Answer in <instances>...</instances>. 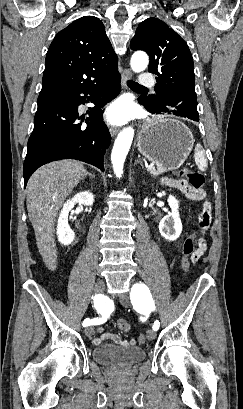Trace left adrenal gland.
Segmentation results:
<instances>
[{
  "label": "left adrenal gland",
  "mask_w": 243,
  "mask_h": 409,
  "mask_svg": "<svg viewBox=\"0 0 243 409\" xmlns=\"http://www.w3.org/2000/svg\"><path fill=\"white\" fill-rule=\"evenodd\" d=\"M140 164L143 167V163L140 160L135 161V165Z\"/></svg>",
  "instance_id": "obj_1"
}]
</instances>
